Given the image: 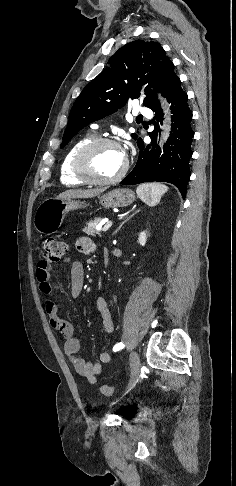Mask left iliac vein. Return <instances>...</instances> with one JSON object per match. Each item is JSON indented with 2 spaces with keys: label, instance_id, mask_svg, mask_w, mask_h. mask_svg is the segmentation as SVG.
<instances>
[{
  "label": "left iliac vein",
  "instance_id": "left-iliac-vein-1",
  "mask_svg": "<svg viewBox=\"0 0 236 486\" xmlns=\"http://www.w3.org/2000/svg\"><path fill=\"white\" fill-rule=\"evenodd\" d=\"M130 362V370H131V382L129 388H132L138 378L139 370H140V358L136 351H132L129 357Z\"/></svg>",
  "mask_w": 236,
  "mask_h": 486
}]
</instances>
